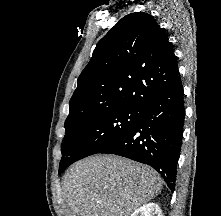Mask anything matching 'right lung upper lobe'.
Masks as SVG:
<instances>
[{
    "mask_svg": "<svg viewBox=\"0 0 221 216\" xmlns=\"http://www.w3.org/2000/svg\"><path fill=\"white\" fill-rule=\"evenodd\" d=\"M179 74L165 31L144 12L122 18L77 80L65 126L109 109L140 107Z\"/></svg>",
    "mask_w": 221,
    "mask_h": 216,
    "instance_id": "cb5924a9",
    "label": "right lung upper lobe"
}]
</instances>
